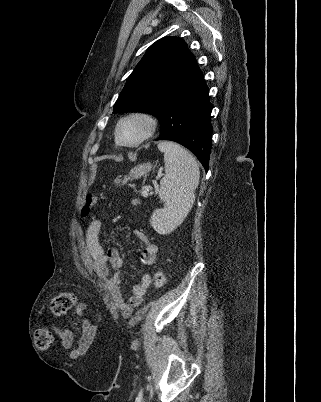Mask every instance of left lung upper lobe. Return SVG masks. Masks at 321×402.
<instances>
[{
  "instance_id": "1",
  "label": "left lung upper lobe",
  "mask_w": 321,
  "mask_h": 402,
  "mask_svg": "<svg viewBox=\"0 0 321 402\" xmlns=\"http://www.w3.org/2000/svg\"><path fill=\"white\" fill-rule=\"evenodd\" d=\"M196 67L194 56L180 38L156 41L128 77L113 113L146 112L159 118L166 97Z\"/></svg>"
}]
</instances>
